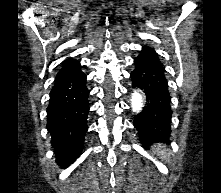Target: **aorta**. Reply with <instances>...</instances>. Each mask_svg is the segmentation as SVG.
<instances>
[{"mask_svg":"<svg viewBox=\"0 0 221 193\" xmlns=\"http://www.w3.org/2000/svg\"><path fill=\"white\" fill-rule=\"evenodd\" d=\"M131 107L133 112H140L143 108V98L139 92H134L131 98Z\"/></svg>","mask_w":221,"mask_h":193,"instance_id":"aorta-1","label":"aorta"}]
</instances>
